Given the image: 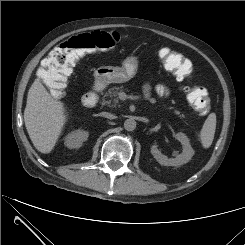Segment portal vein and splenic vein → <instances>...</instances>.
<instances>
[{
  "label": "portal vein and splenic vein",
  "instance_id": "18ae733b",
  "mask_svg": "<svg viewBox=\"0 0 245 245\" xmlns=\"http://www.w3.org/2000/svg\"><path fill=\"white\" fill-rule=\"evenodd\" d=\"M119 98L121 99V100H127V99H130V100H134L135 99V97L134 96H131V95H127L126 93H124V92H121L120 94H119Z\"/></svg>",
  "mask_w": 245,
  "mask_h": 245
}]
</instances>
